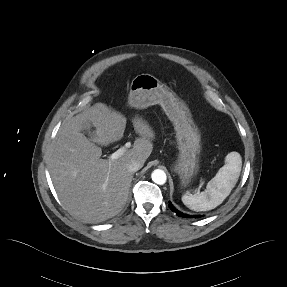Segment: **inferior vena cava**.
Here are the masks:
<instances>
[{
    "label": "inferior vena cava",
    "mask_w": 287,
    "mask_h": 287,
    "mask_svg": "<svg viewBox=\"0 0 287 287\" xmlns=\"http://www.w3.org/2000/svg\"><path fill=\"white\" fill-rule=\"evenodd\" d=\"M143 165L138 161H131L127 164V170L129 172H136L138 171Z\"/></svg>",
    "instance_id": "inferior-vena-cava-1"
}]
</instances>
